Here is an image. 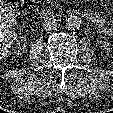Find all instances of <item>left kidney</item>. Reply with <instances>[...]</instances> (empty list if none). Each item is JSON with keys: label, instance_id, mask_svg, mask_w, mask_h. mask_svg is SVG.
I'll return each instance as SVG.
<instances>
[{"label": "left kidney", "instance_id": "1", "mask_svg": "<svg viewBox=\"0 0 113 113\" xmlns=\"http://www.w3.org/2000/svg\"><path fill=\"white\" fill-rule=\"evenodd\" d=\"M98 45L107 51L110 49V44L107 42V40L100 39Z\"/></svg>", "mask_w": 113, "mask_h": 113}]
</instances>
